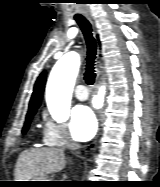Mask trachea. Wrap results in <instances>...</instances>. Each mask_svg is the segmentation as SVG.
Wrapping results in <instances>:
<instances>
[{"label": "trachea", "mask_w": 160, "mask_h": 187, "mask_svg": "<svg viewBox=\"0 0 160 187\" xmlns=\"http://www.w3.org/2000/svg\"><path fill=\"white\" fill-rule=\"evenodd\" d=\"M75 21L80 26L87 44V65L84 73V80L88 85H93L96 77L94 63L96 58L97 44L92 34V26L84 17H75Z\"/></svg>", "instance_id": "1"}]
</instances>
